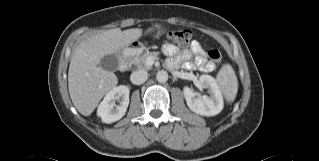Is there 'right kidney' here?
Instances as JSON below:
<instances>
[{
	"instance_id": "ca27d5eb",
	"label": "right kidney",
	"mask_w": 319,
	"mask_h": 161,
	"mask_svg": "<svg viewBox=\"0 0 319 161\" xmlns=\"http://www.w3.org/2000/svg\"><path fill=\"white\" fill-rule=\"evenodd\" d=\"M118 102L116 105L115 102ZM129 105V88L119 85L110 90L99 104L97 115L102 122L110 124L120 120L126 113Z\"/></svg>"
}]
</instances>
